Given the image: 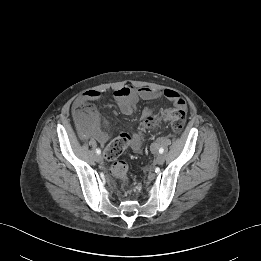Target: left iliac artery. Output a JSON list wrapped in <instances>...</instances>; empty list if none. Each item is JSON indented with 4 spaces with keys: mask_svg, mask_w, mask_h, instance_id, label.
Returning a JSON list of instances; mask_svg holds the SVG:
<instances>
[{
    "mask_svg": "<svg viewBox=\"0 0 261 261\" xmlns=\"http://www.w3.org/2000/svg\"><path fill=\"white\" fill-rule=\"evenodd\" d=\"M163 152H164L163 147H160V148H159V153L162 154Z\"/></svg>",
    "mask_w": 261,
    "mask_h": 261,
    "instance_id": "left-iliac-artery-1",
    "label": "left iliac artery"
}]
</instances>
